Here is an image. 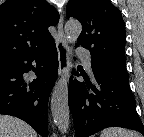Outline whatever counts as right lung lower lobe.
Masks as SVG:
<instances>
[{"label":"right lung lower lobe","instance_id":"98d812e1","mask_svg":"<svg viewBox=\"0 0 144 137\" xmlns=\"http://www.w3.org/2000/svg\"><path fill=\"white\" fill-rule=\"evenodd\" d=\"M57 55L52 40L0 70V114L26 121L42 137L48 136L47 105L57 78ZM30 70L37 76L33 81L24 78Z\"/></svg>","mask_w":144,"mask_h":137}]
</instances>
